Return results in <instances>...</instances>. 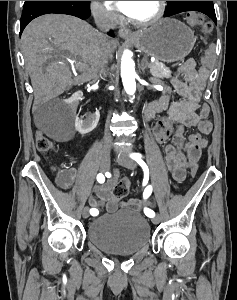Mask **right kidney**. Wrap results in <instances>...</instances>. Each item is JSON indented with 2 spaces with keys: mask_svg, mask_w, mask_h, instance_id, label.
<instances>
[{
  "mask_svg": "<svg viewBox=\"0 0 237 300\" xmlns=\"http://www.w3.org/2000/svg\"><path fill=\"white\" fill-rule=\"evenodd\" d=\"M83 93L82 91H77V93H73L72 97L68 99V103L72 109H77L80 101H82ZM100 119L99 111H95L92 115H86L85 119H80L78 115H76L75 119V129L81 135H86V133H91L95 127L98 125V121Z\"/></svg>",
  "mask_w": 237,
  "mask_h": 300,
  "instance_id": "right-kidney-1",
  "label": "right kidney"
}]
</instances>
